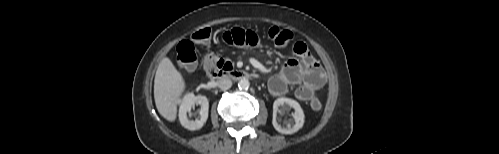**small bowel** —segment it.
<instances>
[{
  "label": "small bowel",
  "mask_w": 499,
  "mask_h": 154,
  "mask_svg": "<svg viewBox=\"0 0 499 154\" xmlns=\"http://www.w3.org/2000/svg\"><path fill=\"white\" fill-rule=\"evenodd\" d=\"M223 40L236 47H255L261 43L255 32L241 28L226 31ZM292 50L295 56L285 63L278 74L269 79L268 88L272 95L280 97L285 95L290 87L298 85L295 97L306 102L324 87L325 73L304 42H295Z\"/></svg>",
  "instance_id": "1"
}]
</instances>
